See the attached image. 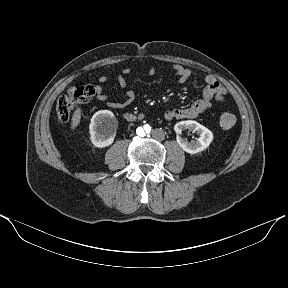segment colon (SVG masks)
Segmentation results:
<instances>
[{"instance_id": "colon-1", "label": "colon", "mask_w": 288, "mask_h": 288, "mask_svg": "<svg viewBox=\"0 0 288 288\" xmlns=\"http://www.w3.org/2000/svg\"><path fill=\"white\" fill-rule=\"evenodd\" d=\"M96 91L91 85H75L71 87L66 94L62 95L56 104L58 118L62 122L70 119L74 107L78 104L90 101ZM235 116L231 113H223L220 117V125L224 129H231L235 125Z\"/></svg>"}]
</instances>
